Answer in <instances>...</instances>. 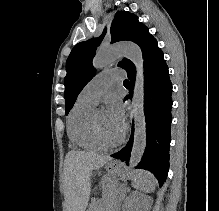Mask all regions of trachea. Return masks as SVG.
Returning <instances> with one entry per match:
<instances>
[{
  "label": "trachea",
  "instance_id": "1",
  "mask_svg": "<svg viewBox=\"0 0 219 211\" xmlns=\"http://www.w3.org/2000/svg\"><path fill=\"white\" fill-rule=\"evenodd\" d=\"M123 83H124V84H129V81H128V80H124Z\"/></svg>",
  "mask_w": 219,
  "mask_h": 211
}]
</instances>
